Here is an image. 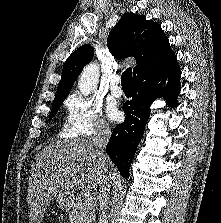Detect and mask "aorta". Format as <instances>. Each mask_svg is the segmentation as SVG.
I'll return each instance as SVG.
<instances>
[{
	"instance_id": "1",
	"label": "aorta",
	"mask_w": 221,
	"mask_h": 223,
	"mask_svg": "<svg viewBox=\"0 0 221 223\" xmlns=\"http://www.w3.org/2000/svg\"><path fill=\"white\" fill-rule=\"evenodd\" d=\"M99 74V66L96 63H90L83 69L78 80V87L84 96H87L92 89L97 87Z\"/></svg>"
}]
</instances>
